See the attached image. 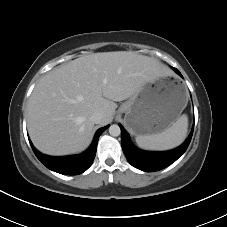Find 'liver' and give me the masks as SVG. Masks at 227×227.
Listing matches in <instances>:
<instances>
[{
  "label": "liver",
  "mask_w": 227,
  "mask_h": 227,
  "mask_svg": "<svg viewBox=\"0 0 227 227\" xmlns=\"http://www.w3.org/2000/svg\"><path fill=\"white\" fill-rule=\"evenodd\" d=\"M167 74L158 60L132 51L93 53L53 69L39 80L28 103L34 146L55 156L85 150L93 138L94 112L103 114L100 125L110 123L115 102Z\"/></svg>",
  "instance_id": "obj_1"
}]
</instances>
